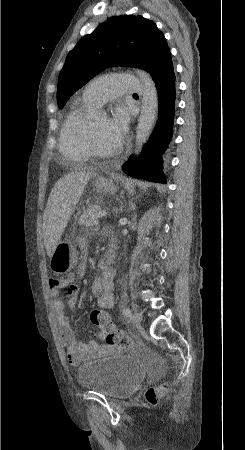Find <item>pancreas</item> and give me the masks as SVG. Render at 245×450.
<instances>
[{
  "label": "pancreas",
  "instance_id": "pancreas-1",
  "mask_svg": "<svg viewBox=\"0 0 245 450\" xmlns=\"http://www.w3.org/2000/svg\"><path fill=\"white\" fill-rule=\"evenodd\" d=\"M99 211L100 209L95 205L88 206V208L84 210L83 214L80 216L78 223L86 228L97 226L99 223L97 217Z\"/></svg>",
  "mask_w": 245,
  "mask_h": 450
}]
</instances>
